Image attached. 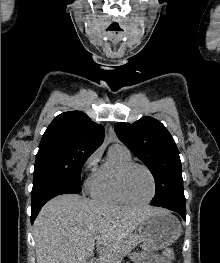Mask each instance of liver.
Wrapping results in <instances>:
<instances>
[{
  "mask_svg": "<svg viewBox=\"0 0 220 263\" xmlns=\"http://www.w3.org/2000/svg\"><path fill=\"white\" fill-rule=\"evenodd\" d=\"M158 210L108 205L77 194L57 196L42 207L34 222L37 263H86L96 239L97 263H119L127 238Z\"/></svg>",
  "mask_w": 220,
  "mask_h": 263,
  "instance_id": "liver-1",
  "label": "liver"
}]
</instances>
